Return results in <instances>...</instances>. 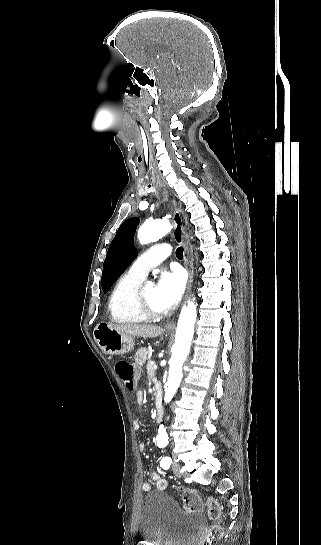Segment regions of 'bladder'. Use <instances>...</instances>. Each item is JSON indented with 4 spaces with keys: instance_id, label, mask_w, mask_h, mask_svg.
Wrapping results in <instances>:
<instances>
[{
    "instance_id": "bladder-1",
    "label": "bladder",
    "mask_w": 321,
    "mask_h": 545,
    "mask_svg": "<svg viewBox=\"0 0 321 545\" xmlns=\"http://www.w3.org/2000/svg\"><path fill=\"white\" fill-rule=\"evenodd\" d=\"M203 525L201 514L183 511L158 489L150 491L143 502L139 532L144 541L154 545H190Z\"/></svg>"
}]
</instances>
